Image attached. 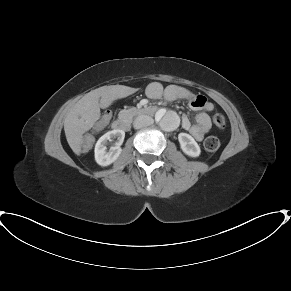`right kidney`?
I'll return each mask as SVG.
<instances>
[{
  "label": "right kidney",
  "instance_id": "obj_1",
  "mask_svg": "<svg viewBox=\"0 0 291 291\" xmlns=\"http://www.w3.org/2000/svg\"><path fill=\"white\" fill-rule=\"evenodd\" d=\"M125 137L123 130H112L99 138L95 145V160L101 166H108L113 163L121 154V145ZM116 139L114 146L108 150L106 145L109 141Z\"/></svg>",
  "mask_w": 291,
  "mask_h": 291
}]
</instances>
